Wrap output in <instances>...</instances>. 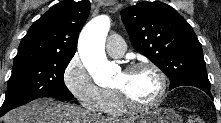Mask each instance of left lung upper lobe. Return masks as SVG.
Instances as JSON below:
<instances>
[{"label": "left lung upper lobe", "instance_id": "obj_1", "mask_svg": "<svg viewBox=\"0 0 221 123\" xmlns=\"http://www.w3.org/2000/svg\"><path fill=\"white\" fill-rule=\"evenodd\" d=\"M132 46L170 79L169 89L190 85L210 88L202 46L174 8L143 1L121 11Z\"/></svg>", "mask_w": 221, "mask_h": 123}]
</instances>
